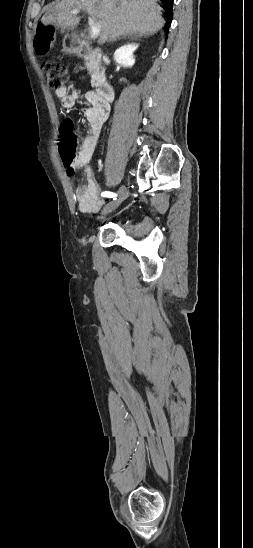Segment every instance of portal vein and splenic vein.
<instances>
[{
	"label": "portal vein and splenic vein",
	"mask_w": 253,
	"mask_h": 548,
	"mask_svg": "<svg viewBox=\"0 0 253 548\" xmlns=\"http://www.w3.org/2000/svg\"><path fill=\"white\" fill-rule=\"evenodd\" d=\"M79 12H80V10L74 9L71 13L74 14V15H77ZM88 21H89V25H90V29H91L90 37L92 39H96L100 34L101 25H100L99 22L95 21V17L92 16V15L89 17Z\"/></svg>",
	"instance_id": "1"
}]
</instances>
